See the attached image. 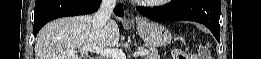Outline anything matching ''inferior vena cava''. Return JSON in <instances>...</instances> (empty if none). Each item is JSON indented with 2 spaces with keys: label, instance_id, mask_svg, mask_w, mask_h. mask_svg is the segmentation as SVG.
I'll use <instances>...</instances> for the list:
<instances>
[{
  "label": "inferior vena cava",
  "instance_id": "1",
  "mask_svg": "<svg viewBox=\"0 0 261 59\" xmlns=\"http://www.w3.org/2000/svg\"><path fill=\"white\" fill-rule=\"evenodd\" d=\"M117 0H102L100 8L93 16V27L103 28L113 15Z\"/></svg>",
  "mask_w": 261,
  "mask_h": 59
}]
</instances>
